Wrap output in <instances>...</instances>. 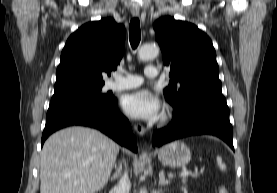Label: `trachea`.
Instances as JSON below:
<instances>
[{
    "mask_svg": "<svg viewBox=\"0 0 277 193\" xmlns=\"http://www.w3.org/2000/svg\"><path fill=\"white\" fill-rule=\"evenodd\" d=\"M141 39L140 22L138 18H133L129 25V40L133 49L137 48Z\"/></svg>",
    "mask_w": 277,
    "mask_h": 193,
    "instance_id": "3493384b",
    "label": "trachea"
}]
</instances>
